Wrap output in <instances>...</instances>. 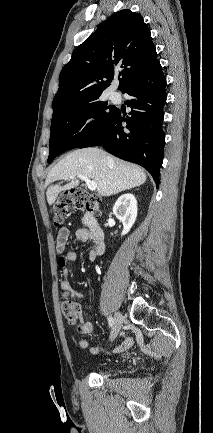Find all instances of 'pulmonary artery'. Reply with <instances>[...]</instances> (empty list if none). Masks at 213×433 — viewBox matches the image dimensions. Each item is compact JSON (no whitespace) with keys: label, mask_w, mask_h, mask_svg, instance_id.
I'll return each mask as SVG.
<instances>
[{"label":"pulmonary artery","mask_w":213,"mask_h":433,"mask_svg":"<svg viewBox=\"0 0 213 433\" xmlns=\"http://www.w3.org/2000/svg\"><path fill=\"white\" fill-rule=\"evenodd\" d=\"M111 99H112L114 102H118V101L120 100V94L117 93V92L112 93V94H111Z\"/></svg>","instance_id":"obj_1"}]
</instances>
